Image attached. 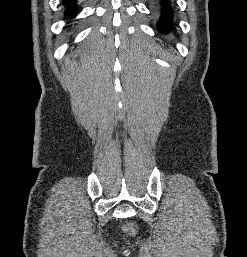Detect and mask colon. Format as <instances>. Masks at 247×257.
<instances>
[{"label":"colon","instance_id":"colon-1","mask_svg":"<svg viewBox=\"0 0 247 257\" xmlns=\"http://www.w3.org/2000/svg\"><path fill=\"white\" fill-rule=\"evenodd\" d=\"M136 230L137 226L134 223H129L124 226V231L129 235L135 234Z\"/></svg>","mask_w":247,"mask_h":257}]
</instances>
